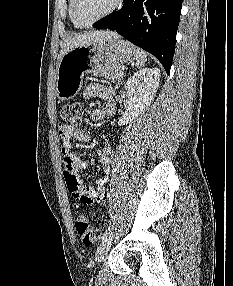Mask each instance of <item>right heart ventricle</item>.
I'll return each mask as SVG.
<instances>
[{
  "instance_id": "obj_1",
  "label": "right heart ventricle",
  "mask_w": 233,
  "mask_h": 286,
  "mask_svg": "<svg viewBox=\"0 0 233 286\" xmlns=\"http://www.w3.org/2000/svg\"><path fill=\"white\" fill-rule=\"evenodd\" d=\"M72 6H73V0H69V3H68V14H69V18L72 22V24L76 27V28H82L83 26H81L80 24H78L76 22V20L74 19L73 17V14H72Z\"/></svg>"
}]
</instances>
